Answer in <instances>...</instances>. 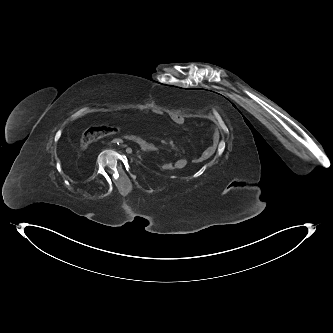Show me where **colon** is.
Segmentation results:
<instances>
[{
    "mask_svg": "<svg viewBox=\"0 0 333 333\" xmlns=\"http://www.w3.org/2000/svg\"><path fill=\"white\" fill-rule=\"evenodd\" d=\"M117 126L112 125H101L94 126L86 130L81 137V144L84 147L91 145L93 142L97 141L100 138L115 134L118 131ZM163 167L167 168L169 171H175V166H173L172 162H163Z\"/></svg>",
    "mask_w": 333,
    "mask_h": 333,
    "instance_id": "colon-1",
    "label": "colon"
}]
</instances>
